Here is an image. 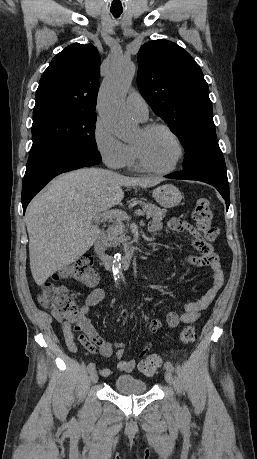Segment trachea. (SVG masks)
I'll list each match as a JSON object with an SVG mask.
<instances>
[{
    "mask_svg": "<svg viewBox=\"0 0 257 459\" xmlns=\"http://www.w3.org/2000/svg\"><path fill=\"white\" fill-rule=\"evenodd\" d=\"M111 13L115 18H118L122 14V11H111Z\"/></svg>",
    "mask_w": 257,
    "mask_h": 459,
    "instance_id": "obj_1",
    "label": "trachea"
}]
</instances>
